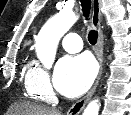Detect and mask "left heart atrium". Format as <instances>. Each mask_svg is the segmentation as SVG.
<instances>
[{
	"label": "left heart atrium",
	"instance_id": "left-heart-atrium-1",
	"mask_svg": "<svg viewBox=\"0 0 131 115\" xmlns=\"http://www.w3.org/2000/svg\"><path fill=\"white\" fill-rule=\"evenodd\" d=\"M95 74V64L87 55L65 56L57 64L54 83L61 94L76 97L89 88Z\"/></svg>",
	"mask_w": 131,
	"mask_h": 115
}]
</instances>
